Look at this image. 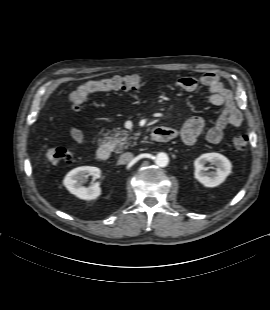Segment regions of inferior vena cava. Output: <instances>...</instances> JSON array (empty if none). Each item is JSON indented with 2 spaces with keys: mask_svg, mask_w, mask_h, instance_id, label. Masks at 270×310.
Masks as SVG:
<instances>
[{
  "mask_svg": "<svg viewBox=\"0 0 270 310\" xmlns=\"http://www.w3.org/2000/svg\"><path fill=\"white\" fill-rule=\"evenodd\" d=\"M133 159V154L131 152H126L120 155L118 162L120 164H126Z\"/></svg>",
  "mask_w": 270,
  "mask_h": 310,
  "instance_id": "obj_1",
  "label": "inferior vena cava"
}]
</instances>
